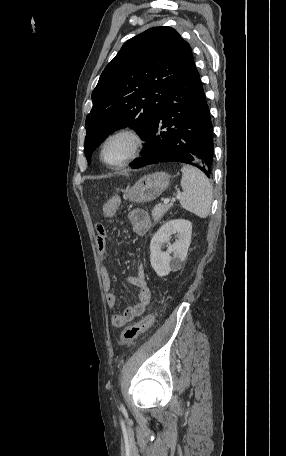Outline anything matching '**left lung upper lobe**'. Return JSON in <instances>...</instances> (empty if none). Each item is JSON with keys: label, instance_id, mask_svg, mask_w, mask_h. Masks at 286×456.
<instances>
[{"label": "left lung upper lobe", "instance_id": "left-lung-upper-lobe-1", "mask_svg": "<svg viewBox=\"0 0 286 456\" xmlns=\"http://www.w3.org/2000/svg\"><path fill=\"white\" fill-rule=\"evenodd\" d=\"M193 61L189 44L170 27L150 28L125 42L92 92L85 121L88 163L119 128L134 127L145 139L168 92Z\"/></svg>", "mask_w": 286, "mask_h": 456}]
</instances>
